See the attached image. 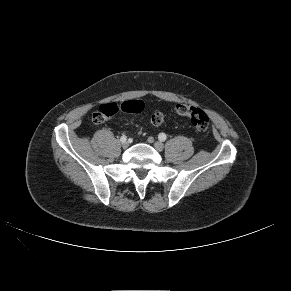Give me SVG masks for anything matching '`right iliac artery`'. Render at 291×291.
<instances>
[{
  "instance_id": "82829eb1",
  "label": "right iliac artery",
  "mask_w": 291,
  "mask_h": 291,
  "mask_svg": "<svg viewBox=\"0 0 291 291\" xmlns=\"http://www.w3.org/2000/svg\"><path fill=\"white\" fill-rule=\"evenodd\" d=\"M126 139H127V137H126L125 135H122L121 138H120V141H121V142H125Z\"/></svg>"
}]
</instances>
